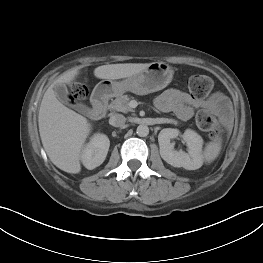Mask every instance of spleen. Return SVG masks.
I'll return each instance as SVG.
<instances>
[{"label":"spleen","instance_id":"1","mask_svg":"<svg viewBox=\"0 0 263 263\" xmlns=\"http://www.w3.org/2000/svg\"><path fill=\"white\" fill-rule=\"evenodd\" d=\"M221 150V144L219 141L209 143L203 153V157L205 161L211 162L213 161L218 155Z\"/></svg>","mask_w":263,"mask_h":263}]
</instances>
